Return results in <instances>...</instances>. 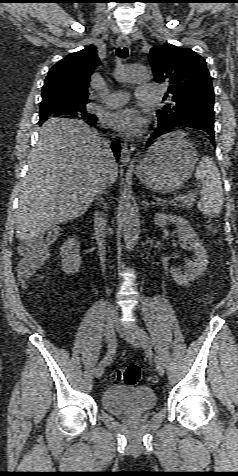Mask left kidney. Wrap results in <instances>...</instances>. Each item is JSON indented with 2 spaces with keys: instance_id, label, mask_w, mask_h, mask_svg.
<instances>
[{
  "instance_id": "1",
  "label": "left kidney",
  "mask_w": 238,
  "mask_h": 476,
  "mask_svg": "<svg viewBox=\"0 0 238 476\" xmlns=\"http://www.w3.org/2000/svg\"><path fill=\"white\" fill-rule=\"evenodd\" d=\"M168 222L174 223L178 228V237L181 241H187L195 252V258L187 264V270L181 273L177 268L170 267V273L175 282L182 286H189L198 276L202 275L209 263L208 255L203 244L197 237L194 229L187 220L176 215L156 213L154 223L164 226Z\"/></svg>"
}]
</instances>
